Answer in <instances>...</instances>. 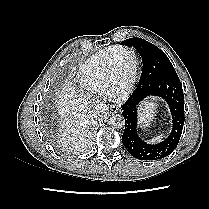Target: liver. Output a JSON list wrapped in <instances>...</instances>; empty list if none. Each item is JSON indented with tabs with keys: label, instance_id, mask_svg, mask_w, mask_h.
Wrapping results in <instances>:
<instances>
[{
	"label": "liver",
	"instance_id": "obj_1",
	"mask_svg": "<svg viewBox=\"0 0 209 209\" xmlns=\"http://www.w3.org/2000/svg\"><path fill=\"white\" fill-rule=\"evenodd\" d=\"M90 103L85 94L69 84L65 85L57 95V107L63 126L60 141L64 147L71 150L80 149L89 142L91 126L95 118Z\"/></svg>",
	"mask_w": 209,
	"mask_h": 209
}]
</instances>
